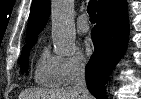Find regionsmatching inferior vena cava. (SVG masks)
Returning a JSON list of instances; mask_svg holds the SVG:
<instances>
[{
    "label": "inferior vena cava",
    "instance_id": "obj_1",
    "mask_svg": "<svg viewBox=\"0 0 141 99\" xmlns=\"http://www.w3.org/2000/svg\"><path fill=\"white\" fill-rule=\"evenodd\" d=\"M73 88L82 94V99L91 98L86 85L85 66L82 63H78L74 67Z\"/></svg>",
    "mask_w": 141,
    "mask_h": 99
}]
</instances>
